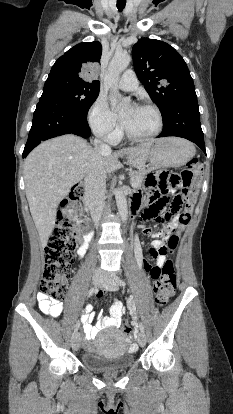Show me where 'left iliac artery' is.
<instances>
[{"label": "left iliac artery", "mask_w": 233, "mask_h": 414, "mask_svg": "<svg viewBox=\"0 0 233 414\" xmlns=\"http://www.w3.org/2000/svg\"><path fill=\"white\" fill-rule=\"evenodd\" d=\"M116 281L120 286H125L126 285L125 281L120 279V278H116ZM139 328H140L141 331L144 332V326L141 323L139 324Z\"/></svg>", "instance_id": "left-iliac-artery-1"}]
</instances>
